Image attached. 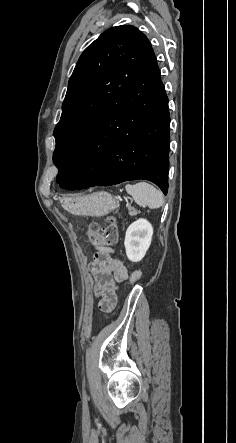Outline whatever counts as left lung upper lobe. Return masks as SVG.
<instances>
[{
    "label": "left lung upper lobe",
    "mask_w": 236,
    "mask_h": 443,
    "mask_svg": "<svg viewBox=\"0 0 236 443\" xmlns=\"http://www.w3.org/2000/svg\"><path fill=\"white\" fill-rule=\"evenodd\" d=\"M153 53L147 37L131 25L106 30L84 50L68 82L62 115L54 129L53 162L59 170Z\"/></svg>",
    "instance_id": "obj_1"
}]
</instances>
